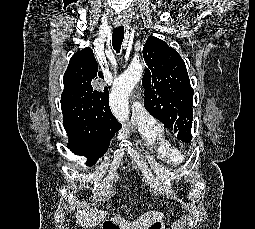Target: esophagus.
Returning <instances> with one entry per match:
<instances>
[{"instance_id": "esophagus-1", "label": "esophagus", "mask_w": 255, "mask_h": 229, "mask_svg": "<svg viewBox=\"0 0 255 229\" xmlns=\"http://www.w3.org/2000/svg\"><path fill=\"white\" fill-rule=\"evenodd\" d=\"M121 25H123V22L121 21L116 22V26H121Z\"/></svg>"}]
</instances>
